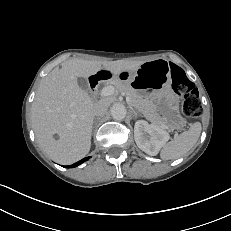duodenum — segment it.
<instances>
[{"label":"duodenum","instance_id":"410a0bca","mask_svg":"<svg viewBox=\"0 0 231 231\" xmlns=\"http://www.w3.org/2000/svg\"><path fill=\"white\" fill-rule=\"evenodd\" d=\"M111 79V75L109 74L108 71H102L98 73L97 75L93 76L90 79V92L92 95L95 94V89L97 88V85L99 82H107Z\"/></svg>","mask_w":231,"mask_h":231}]
</instances>
